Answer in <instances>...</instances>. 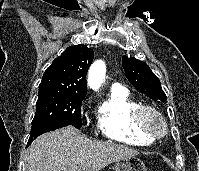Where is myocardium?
Instances as JSON below:
<instances>
[{
  "label": "myocardium",
  "instance_id": "1",
  "mask_svg": "<svg viewBox=\"0 0 199 171\" xmlns=\"http://www.w3.org/2000/svg\"><path fill=\"white\" fill-rule=\"evenodd\" d=\"M139 128L147 135L160 139L168 134L169 126L165 116L151 105H141L136 114Z\"/></svg>",
  "mask_w": 199,
  "mask_h": 171
}]
</instances>
